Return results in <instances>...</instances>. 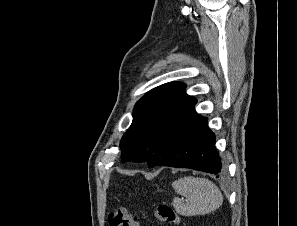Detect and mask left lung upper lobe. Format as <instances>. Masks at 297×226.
<instances>
[{
    "mask_svg": "<svg viewBox=\"0 0 297 226\" xmlns=\"http://www.w3.org/2000/svg\"><path fill=\"white\" fill-rule=\"evenodd\" d=\"M185 85L170 82L149 91L135 105L133 121L123 135V161H148L153 167L172 144L179 128L194 111L196 99Z\"/></svg>",
    "mask_w": 297,
    "mask_h": 226,
    "instance_id": "5c2ea615",
    "label": "left lung upper lobe"
}]
</instances>
